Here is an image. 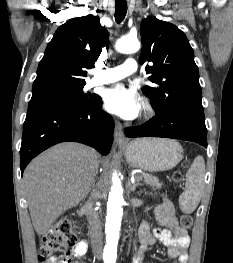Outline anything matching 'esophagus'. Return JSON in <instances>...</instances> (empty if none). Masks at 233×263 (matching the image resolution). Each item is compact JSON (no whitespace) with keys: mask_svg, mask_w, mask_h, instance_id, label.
I'll use <instances>...</instances> for the list:
<instances>
[{"mask_svg":"<svg viewBox=\"0 0 233 263\" xmlns=\"http://www.w3.org/2000/svg\"><path fill=\"white\" fill-rule=\"evenodd\" d=\"M114 141L118 147H124L128 143L124 135L123 126L118 121H115Z\"/></svg>","mask_w":233,"mask_h":263,"instance_id":"esophagus-1","label":"esophagus"}]
</instances>
